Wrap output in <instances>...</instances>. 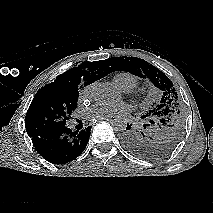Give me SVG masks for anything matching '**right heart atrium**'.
I'll return each instance as SVG.
<instances>
[{
	"label": "right heart atrium",
	"mask_w": 213,
	"mask_h": 213,
	"mask_svg": "<svg viewBox=\"0 0 213 213\" xmlns=\"http://www.w3.org/2000/svg\"><path fill=\"white\" fill-rule=\"evenodd\" d=\"M93 88H94V84L85 86L80 92V97L81 98H90L92 95Z\"/></svg>",
	"instance_id": "d8ad5b80"
}]
</instances>
